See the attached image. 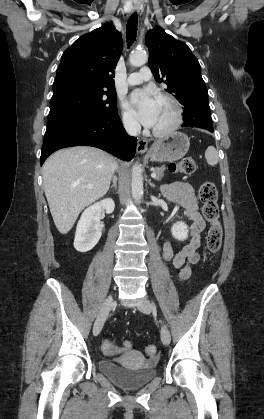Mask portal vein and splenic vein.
Wrapping results in <instances>:
<instances>
[{"instance_id": "1", "label": "portal vein and splenic vein", "mask_w": 264, "mask_h": 419, "mask_svg": "<svg viewBox=\"0 0 264 419\" xmlns=\"http://www.w3.org/2000/svg\"><path fill=\"white\" fill-rule=\"evenodd\" d=\"M151 176H152V178H156V176H157V175H156V173L153 171V172H152V174H151ZM91 187H92V186H90V188H91Z\"/></svg>"}]
</instances>
